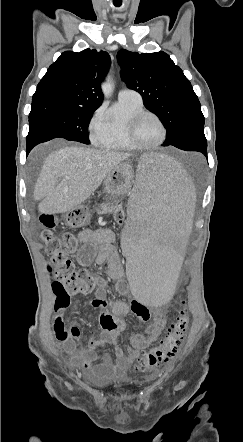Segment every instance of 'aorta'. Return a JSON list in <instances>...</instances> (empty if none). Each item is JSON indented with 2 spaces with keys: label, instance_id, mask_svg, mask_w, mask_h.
Wrapping results in <instances>:
<instances>
[{
  "label": "aorta",
  "instance_id": "762f6f07",
  "mask_svg": "<svg viewBox=\"0 0 243 442\" xmlns=\"http://www.w3.org/2000/svg\"><path fill=\"white\" fill-rule=\"evenodd\" d=\"M102 90L105 93V95H110L112 92V84L110 82V79L107 78V80L102 84Z\"/></svg>",
  "mask_w": 243,
  "mask_h": 442
}]
</instances>
